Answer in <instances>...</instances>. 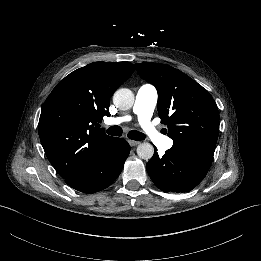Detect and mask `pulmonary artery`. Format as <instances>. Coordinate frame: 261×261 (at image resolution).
Segmentation results:
<instances>
[{"label": "pulmonary artery", "mask_w": 261, "mask_h": 261, "mask_svg": "<svg viewBox=\"0 0 261 261\" xmlns=\"http://www.w3.org/2000/svg\"><path fill=\"white\" fill-rule=\"evenodd\" d=\"M158 102V93L150 84H143L139 87L135 103L134 112L142 128L149 134V138L153 145L168 151L172 148L173 143L168 137L161 136L159 131L155 130L151 125V117ZM128 118H111L112 124H119Z\"/></svg>", "instance_id": "e3ab8cb5"}]
</instances>
